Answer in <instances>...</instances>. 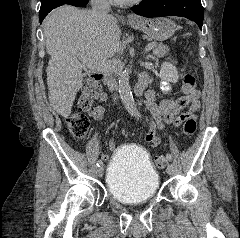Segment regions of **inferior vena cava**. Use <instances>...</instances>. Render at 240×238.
<instances>
[{"mask_svg":"<svg viewBox=\"0 0 240 238\" xmlns=\"http://www.w3.org/2000/svg\"><path fill=\"white\" fill-rule=\"evenodd\" d=\"M90 2L92 6L90 14L93 17L99 20H105L110 17L108 13L110 12L111 7L108 0H91ZM116 99V95H114V100Z\"/></svg>","mask_w":240,"mask_h":238,"instance_id":"602c4592","label":"inferior vena cava"}]
</instances>
